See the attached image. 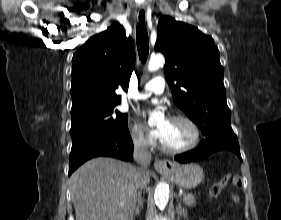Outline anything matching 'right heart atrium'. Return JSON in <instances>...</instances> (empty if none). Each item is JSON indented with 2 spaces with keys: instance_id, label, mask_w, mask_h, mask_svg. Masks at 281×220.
<instances>
[{
  "instance_id": "1",
  "label": "right heart atrium",
  "mask_w": 281,
  "mask_h": 220,
  "mask_svg": "<svg viewBox=\"0 0 281 220\" xmlns=\"http://www.w3.org/2000/svg\"><path fill=\"white\" fill-rule=\"evenodd\" d=\"M130 136L134 146L138 149L148 150L154 145L153 140L145 134L143 128L137 123L132 124Z\"/></svg>"
}]
</instances>
